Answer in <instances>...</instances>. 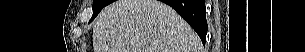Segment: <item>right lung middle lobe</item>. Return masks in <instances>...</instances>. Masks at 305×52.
<instances>
[{"instance_id": "obj_1", "label": "right lung middle lobe", "mask_w": 305, "mask_h": 52, "mask_svg": "<svg viewBox=\"0 0 305 52\" xmlns=\"http://www.w3.org/2000/svg\"><path fill=\"white\" fill-rule=\"evenodd\" d=\"M109 2L110 0H93V16L91 21L98 15L104 6L108 5Z\"/></svg>"}]
</instances>
